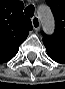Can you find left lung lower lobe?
Segmentation results:
<instances>
[{"instance_id": "left-lung-lower-lobe-1", "label": "left lung lower lobe", "mask_w": 65, "mask_h": 89, "mask_svg": "<svg viewBox=\"0 0 65 89\" xmlns=\"http://www.w3.org/2000/svg\"><path fill=\"white\" fill-rule=\"evenodd\" d=\"M43 44L50 58L58 63L65 64V44L45 37L43 38Z\"/></svg>"}]
</instances>
